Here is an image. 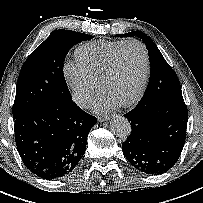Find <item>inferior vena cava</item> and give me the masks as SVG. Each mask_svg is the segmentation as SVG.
<instances>
[{"mask_svg":"<svg viewBox=\"0 0 203 203\" xmlns=\"http://www.w3.org/2000/svg\"><path fill=\"white\" fill-rule=\"evenodd\" d=\"M89 100V96L86 94H82V95H77L74 98V101L81 107L86 106L87 102Z\"/></svg>","mask_w":203,"mask_h":203,"instance_id":"1","label":"inferior vena cava"}]
</instances>
